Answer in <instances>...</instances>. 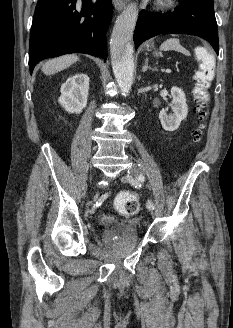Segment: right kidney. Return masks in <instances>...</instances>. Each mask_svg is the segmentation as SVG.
I'll list each match as a JSON object with an SVG mask.
<instances>
[{"label": "right kidney", "instance_id": "1", "mask_svg": "<svg viewBox=\"0 0 233 328\" xmlns=\"http://www.w3.org/2000/svg\"><path fill=\"white\" fill-rule=\"evenodd\" d=\"M88 90L89 77L77 73L62 84L58 102L67 112L79 114L87 105Z\"/></svg>", "mask_w": 233, "mask_h": 328}]
</instances>
